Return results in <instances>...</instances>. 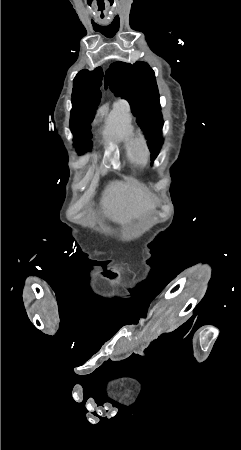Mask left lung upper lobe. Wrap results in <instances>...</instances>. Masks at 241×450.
I'll list each match as a JSON object with an SVG mask.
<instances>
[{
  "label": "left lung upper lobe",
  "mask_w": 241,
  "mask_h": 450,
  "mask_svg": "<svg viewBox=\"0 0 241 450\" xmlns=\"http://www.w3.org/2000/svg\"><path fill=\"white\" fill-rule=\"evenodd\" d=\"M109 80L110 89L116 96L126 99L137 122L142 127L153 161L160 148L163 127L160 112L159 92L153 69L145 62L131 65L124 62L113 63L106 71L105 87Z\"/></svg>",
  "instance_id": "obj_1"
}]
</instances>
